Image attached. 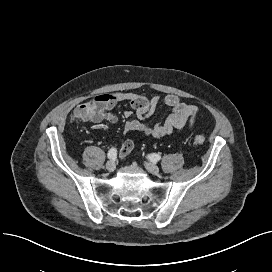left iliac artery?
Masks as SVG:
<instances>
[{
  "instance_id": "left-iliac-artery-1",
  "label": "left iliac artery",
  "mask_w": 272,
  "mask_h": 272,
  "mask_svg": "<svg viewBox=\"0 0 272 272\" xmlns=\"http://www.w3.org/2000/svg\"><path fill=\"white\" fill-rule=\"evenodd\" d=\"M148 158H149L150 161H152L153 163H155V162H157V161H159L161 159V156L159 154L153 153V154H150L148 156Z\"/></svg>"
}]
</instances>
